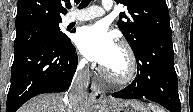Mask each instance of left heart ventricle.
<instances>
[{
	"instance_id": "b2bd125f",
	"label": "left heart ventricle",
	"mask_w": 193,
	"mask_h": 112,
	"mask_svg": "<svg viewBox=\"0 0 193 112\" xmlns=\"http://www.w3.org/2000/svg\"><path fill=\"white\" fill-rule=\"evenodd\" d=\"M105 68L114 75H122L127 68V59L125 53L117 47V50L111 61Z\"/></svg>"
}]
</instances>
